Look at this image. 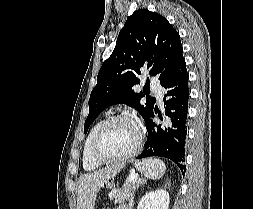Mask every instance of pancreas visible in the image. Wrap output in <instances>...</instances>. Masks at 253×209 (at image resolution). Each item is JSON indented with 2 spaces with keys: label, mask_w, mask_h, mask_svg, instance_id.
Instances as JSON below:
<instances>
[{
  "label": "pancreas",
  "mask_w": 253,
  "mask_h": 209,
  "mask_svg": "<svg viewBox=\"0 0 253 209\" xmlns=\"http://www.w3.org/2000/svg\"><path fill=\"white\" fill-rule=\"evenodd\" d=\"M134 189L135 183L127 180L120 190L110 195V200H114L115 204H122L132 196Z\"/></svg>",
  "instance_id": "cf45deb5"
}]
</instances>
